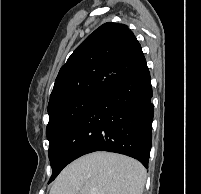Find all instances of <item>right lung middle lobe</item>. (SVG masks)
I'll return each instance as SVG.
<instances>
[{
    "mask_svg": "<svg viewBox=\"0 0 201 194\" xmlns=\"http://www.w3.org/2000/svg\"><path fill=\"white\" fill-rule=\"evenodd\" d=\"M101 95H86L60 103L48 111L49 123L46 128L49 146V160L51 161L52 176L48 183L53 181L57 174V165L53 159V153L60 144L63 136L71 125L88 110Z\"/></svg>",
    "mask_w": 201,
    "mask_h": 194,
    "instance_id": "dd1d6c3e",
    "label": "right lung middle lobe"
}]
</instances>
